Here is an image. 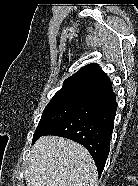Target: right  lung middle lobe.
<instances>
[{"instance_id":"1","label":"right lung middle lobe","mask_w":138,"mask_h":186,"mask_svg":"<svg viewBox=\"0 0 138 186\" xmlns=\"http://www.w3.org/2000/svg\"><path fill=\"white\" fill-rule=\"evenodd\" d=\"M91 95L92 90L86 88L68 87L60 89L44 109L33 135L32 143L43 136L56 123L89 101Z\"/></svg>"}]
</instances>
